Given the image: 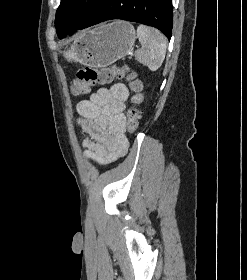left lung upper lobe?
I'll return each instance as SVG.
<instances>
[{
  "label": "left lung upper lobe",
  "instance_id": "1",
  "mask_svg": "<svg viewBox=\"0 0 247 280\" xmlns=\"http://www.w3.org/2000/svg\"><path fill=\"white\" fill-rule=\"evenodd\" d=\"M103 0H61L56 12L55 27L61 39L70 30L78 28L89 13Z\"/></svg>",
  "mask_w": 247,
  "mask_h": 280
}]
</instances>
